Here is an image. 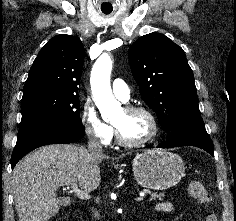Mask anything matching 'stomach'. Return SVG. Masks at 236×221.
Wrapping results in <instances>:
<instances>
[{
	"label": "stomach",
	"mask_w": 236,
	"mask_h": 221,
	"mask_svg": "<svg viewBox=\"0 0 236 221\" xmlns=\"http://www.w3.org/2000/svg\"><path fill=\"white\" fill-rule=\"evenodd\" d=\"M183 160L164 150H148L133 160L136 181L144 188L165 190L178 184L184 175Z\"/></svg>",
	"instance_id": "0dacf381"
}]
</instances>
